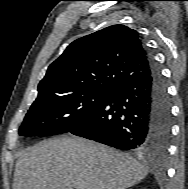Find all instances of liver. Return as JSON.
Wrapping results in <instances>:
<instances>
[{"label": "liver", "instance_id": "1", "mask_svg": "<svg viewBox=\"0 0 188 189\" xmlns=\"http://www.w3.org/2000/svg\"><path fill=\"white\" fill-rule=\"evenodd\" d=\"M148 174L136 159L79 137L44 140L25 149L12 189H126Z\"/></svg>", "mask_w": 188, "mask_h": 189}]
</instances>
